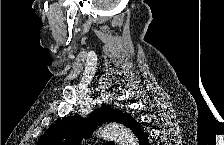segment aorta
I'll return each mask as SVG.
<instances>
[{"label": "aorta", "mask_w": 224, "mask_h": 145, "mask_svg": "<svg viewBox=\"0 0 224 145\" xmlns=\"http://www.w3.org/2000/svg\"><path fill=\"white\" fill-rule=\"evenodd\" d=\"M97 133L101 138L119 145H138V140L132 131L118 123L105 124Z\"/></svg>", "instance_id": "1"}]
</instances>
